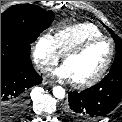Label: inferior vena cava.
Wrapping results in <instances>:
<instances>
[{
	"label": "inferior vena cava",
	"instance_id": "602c4592",
	"mask_svg": "<svg viewBox=\"0 0 122 122\" xmlns=\"http://www.w3.org/2000/svg\"><path fill=\"white\" fill-rule=\"evenodd\" d=\"M37 68L43 73H48L51 70L49 65H37Z\"/></svg>",
	"mask_w": 122,
	"mask_h": 122
}]
</instances>
